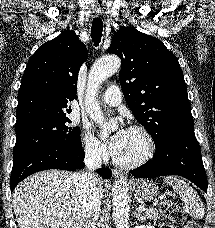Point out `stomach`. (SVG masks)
Listing matches in <instances>:
<instances>
[{"label":"stomach","mask_w":215,"mask_h":228,"mask_svg":"<svg viewBox=\"0 0 215 228\" xmlns=\"http://www.w3.org/2000/svg\"><path fill=\"white\" fill-rule=\"evenodd\" d=\"M134 188L135 194L142 198V200H153L158 194V186L150 180H136V182H130Z\"/></svg>","instance_id":"obj_1"}]
</instances>
